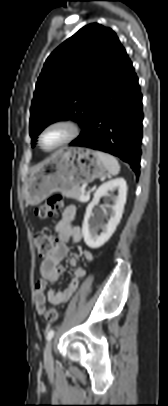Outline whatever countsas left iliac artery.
<instances>
[{
  "mask_svg": "<svg viewBox=\"0 0 168 406\" xmlns=\"http://www.w3.org/2000/svg\"><path fill=\"white\" fill-rule=\"evenodd\" d=\"M54 334H55V331H54L53 329H51V330L47 333V336H46L47 341H50V340L53 338Z\"/></svg>",
  "mask_w": 168,
  "mask_h": 406,
  "instance_id": "44dca946",
  "label": "left iliac artery"
}]
</instances>
